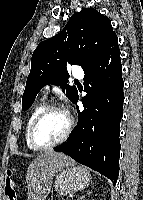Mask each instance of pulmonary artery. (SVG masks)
<instances>
[{
	"instance_id": "pulmonary-artery-1",
	"label": "pulmonary artery",
	"mask_w": 143,
	"mask_h": 200,
	"mask_svg": "<svg viewBox=\"0 0 143 200\" xmlns=\"http://www.w3.org/2000/svg\"><path fill=\"white\" fill-rule=\"evenodd\" d=\"M73 77L76 78V79H83V77H84V72H83V70L80 69V68L75 69V70L73 71ZM49 88H50V87H49L48 85L44 87V91H43V92H44L45 95L48 93Z\"/></svg>"
}]
</instances>
